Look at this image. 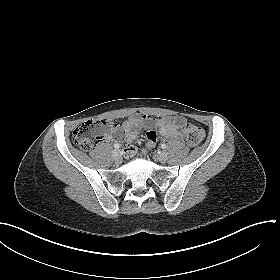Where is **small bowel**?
<instances>
[{
  "mask_svg": "<svg viewBox=\"0 0 280 280\" xmlns=\"http://www.w3.org/2000/svg\"><path fill=\"white\" fill-rule=\"evenodd\" d=\"M142 125L147 128L146 131V146L153 147L158 141V135L165 138L182 139L184 136L185 119L180 116L166 117L157 119L152 115H143L142 117H132L125 121L121 126L119 139H124L129 146L125 152L128 156L135 155L139 150V145L135 143L136 131L134 126ZM155 127L157 130H155Z\"/></svg>",
  "mask_w": 280,
  "mask_h": 280,
  "instance_id": "c3829d8e",
  "label": "small bowel"
}]
</instances>
